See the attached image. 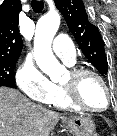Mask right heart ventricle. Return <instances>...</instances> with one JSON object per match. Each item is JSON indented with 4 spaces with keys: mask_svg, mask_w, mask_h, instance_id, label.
Instances as JSON below:
<instances>
[{
    "mask_svg": "<svg viewBox=\"0 0 117 136\" xmlns=\"http://www.w3.org/2000/svg\"><path fill=\"white\" fill-rule=\"evenodd\" d=\"M50 103L61 109L77 110L68 102L61 86L56 85L55 92Z\"/></svg>",
    "mask_w": 117,
    "mask_h": 136,
    "instance_id": "right-heart-ventricle-1",
    "label": "right heart ventricle"
}]
</instances>
